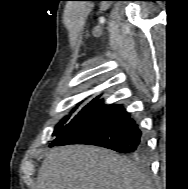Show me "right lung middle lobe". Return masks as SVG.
I'll use <instances>...</instances> for the list:
<instances>
[{
  "instance_id": "1",
  "label": "right lung middle lobe",
  "mask_w": 188,
  "mask_h": 189,
  "mask_svg": "<svg viewBox=\"0 0 188 189\" xmlns=\"http://www.w3.org/2000/svg\"><path fill=\"white\" fill-rule=\"evenodd\" d=\"M99 96L94 98L90 103H88L85 107L82 108V110L75 115L67 124L66 122L68 121L70 115L66 116L63 118L60 123L55 127L53 136L55 135L56 138L59 137L61 134H63L67 129H69L86 111H88L92 106H94L98 101ZM75 110V109H74ZM73 110V111H74ZM72 111V112H73ZM66 124V125H64ZM55 138V139H56Z\"/></svg>"
}]
</instances>
